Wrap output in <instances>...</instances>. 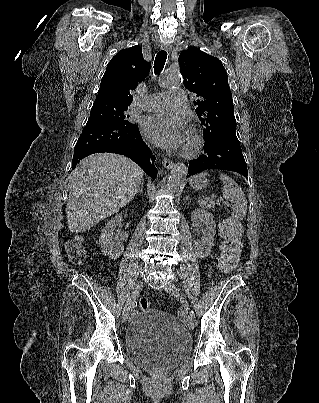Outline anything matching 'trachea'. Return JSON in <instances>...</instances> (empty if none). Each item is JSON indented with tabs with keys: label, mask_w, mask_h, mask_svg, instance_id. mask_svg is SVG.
I'll list each match as a JSON object with an SVG mask.
<instances>
[{
	"label": "trachea",
	"mask_w": 319,
	"mask_h": 403,
	"mask_svg": "<svg viewBox=\"0 0 319 403\" xmlns=\"http://www.w3.org/2000/svg\"><path fill=\"white\" fill-rule=\"evenodd\" d=\"M166 59H167V52L165 50L159 51L155 57V61H154V71L155 73H160L163 68L164 65L166 63Z\"/></svg>",
	"instance_id": "obj_1"
}]
</instances>
